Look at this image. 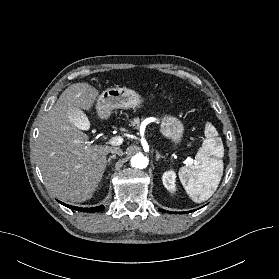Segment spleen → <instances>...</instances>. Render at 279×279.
<instances>
[{
	"mask_svg": "<svg viewBox=\"0 0 279 279\" xmlns=\"http://www.w3.org/2000/svg\"><path fill=\"white\" fill-rule=\"evenodd\" d=\"M218 132L206 124L205 139L194 163L179 170V178L186 193L196 203L208 200L216 191L223 175L224 147Z\"/></svg>",
	"mask_w": 279,
	"mask_h": 279,
	"instance_id": "1",
	"label": "spleen"
}]
</instances>
